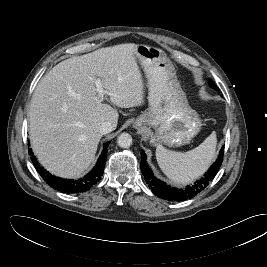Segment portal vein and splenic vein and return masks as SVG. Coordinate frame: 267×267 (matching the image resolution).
<instances>
[{
    "instance_id": "portal-vein-and-splenic-vein-1",
    "label": "portal vein and splenic vein",
    "mask_w": 267,
    "mask_h": 267,
    "mask_svg": "<svg viewBox=\"0 0 267 267\" xmlns=\"http://www.w3.org/2000/svg\"><path fill=\"white\" fill-rule=\"evenodd\" d=\"M95 85H96L97 92H98L99 96H103L106 92L102 87L101 80L100 79H96L95 80Z\"/></svg>"
}]
</instances>
